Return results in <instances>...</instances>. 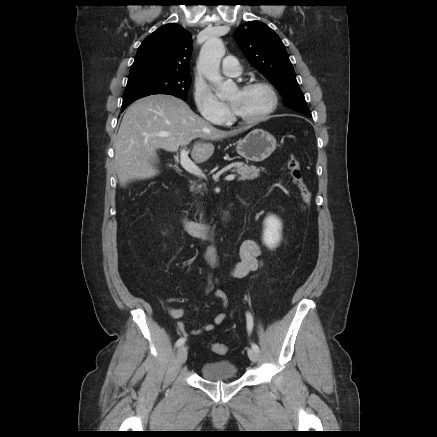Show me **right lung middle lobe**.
<instances>
[{"mask_svg":"<svg viewBox=\"0 0 437 437\" xmlns=\"http://www.w3.org/2000/svg\"><path fill=\"white\" fill-rule=\"evenodd\" d=\"M190 84V75L149 70L130 72L121 108H126L139 98L154 94H169L185 100Z\"/></svg>","mask_w":437,"mask_h":437,"instance_id":"obj_1","label":"right lung middle lobe"}]
</instances>
